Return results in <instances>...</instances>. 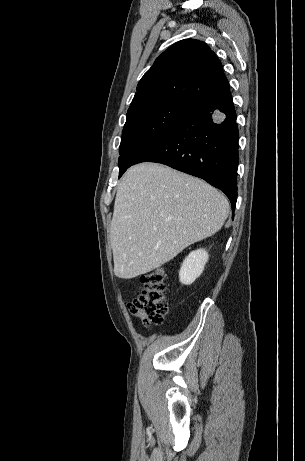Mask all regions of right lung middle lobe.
<instances>
[{
    "instance_id": "1",
    "label": "right lung middle lobe",
    "mask_w": 305,
    "mask_h": 461,
    "mask_svg": "<svg viewBox=\"0 0 305 461\" xmlns=\"http://www.w3.org/2000/svg\"><path fill=\"white\" fill-rule=\"evenodd\" d=\"M190 106L159 103L127 113L119 148V170L129 167L140 155L163 138Z\"/></svg>"
}]
</instances>
